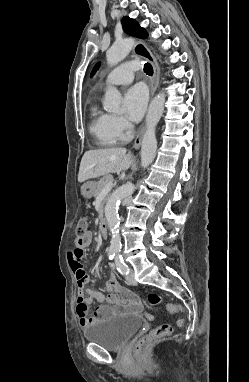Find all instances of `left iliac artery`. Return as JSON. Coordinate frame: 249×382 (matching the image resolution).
<instances>
[{
	"label": "left iliac artery",
	"mask_w": 249,
	"mask_h": 382,
	"mask_svg": "<svg viewBox=\"0 0 249 382\" xmlns=\"http://www.w3.org/2000/svg\"><path fill=\"white\" fill-rule=\"evenodd\" d=\"M115 263H116V266H117V270L121 273V274H128L129 272V268L128 266L126 265V263L124 262L123 258L121 255H118L116 258H115Z\"/></svg>",
	"instance_id": "1"
}]
</instances>
